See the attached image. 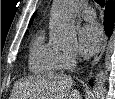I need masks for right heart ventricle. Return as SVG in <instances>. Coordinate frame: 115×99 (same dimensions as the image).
<instances>
[{
	"instance_id": "right-heart-ventricle-1",
	"label": "right heart ventricle",
	"mask_w": 115,
	"mask_h": 99,
	"mask_svg": "<svg viewBox=\"0 0 115 99\" xmlns=\"http://www.w3.org/2000/svg\"><path fill=\"white\" fill-rule=\"evenodd\" d=\"M60 55L58 49L45 43L44 34L39 32L30 46L29 69L39 75H53L62 69Z\"/></svg>"
}]
</instances>
